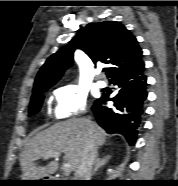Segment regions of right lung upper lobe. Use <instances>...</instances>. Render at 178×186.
Returning a JSON list of instances; mask_svg holds the SVG:
<instances>
[{
	"label": "right lung upper lobe",
	"instance_id": "1",
	"mask_svg": "<svg viewBox=\"0 0 178 186\" xmlns=\"http://www.w3.org/2000/svg\"><path fill=\"white\" fill-rule=\"evenodd\" d=\"M70 43L51 55L38 72L33 95L54 85L64 71L72 66L74 51L82 49L94 64L106 63L111 78L123 69L142 61V50L136 38L120 23L104 21L90 23L80 29Z\"/></svg>",
	"mask_w": 178,
	"mask_h": 186
}]
</instances>
